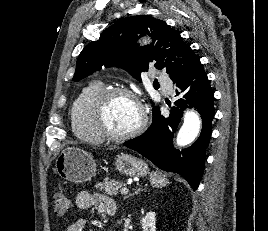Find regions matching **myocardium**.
<instances>
[{"instance_id": "1", "label": "myocardium", "mask_w": 268, "mask_h": 231, "mask_svg": "<svg viewBox=\"0 0 268 231\" xmlns=\"http://www.w3.org/2000/svg\"><path fill=\"white\" fill-rule=\"evenodd\" d=\"M125 96L133 99L140 110V121L138 125L126 133H114L106 126L105 108L112 97ZM89 119L93 130L98 137L113 142L124 141L139 135L146 127L147 113L142 100L128 88L122 86L105 87L92 99L89 107Z\"/></svg>"}]
</instances>
